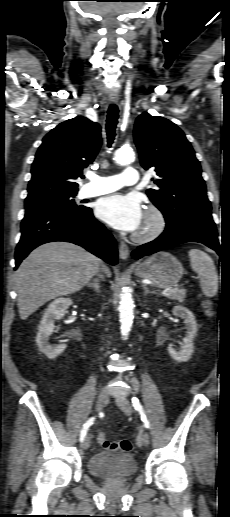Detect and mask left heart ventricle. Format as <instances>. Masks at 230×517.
I'll list each match as a JSON object with an SVG mask.
<instances>
[{"label":"left heart ventricle","instance_id":"obj_1","mask_svg":"<svg viewBox=\"0 0 230 517\" xmlns=\"http://www.w3.org/2000/svg\"><path fill=\"white\" fill-rule=\"evenodd\" d=\"M149 224V221L148 219L144 216V219H143V222H142V225L140 227V230L143 229V228H146Z\"/></svg>","mask_w":230,"mask_h":517}]
</instances>
